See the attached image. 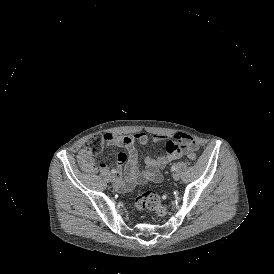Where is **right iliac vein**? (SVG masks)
Wrapping results in <instances>:
<instances>
[{
    "instance_id": "right-iliac-vein-1",
    "label": "right iliac vein",
    "mask_w": 274,
    "mask_h": 274,
    "mask_svg": "<svg viewBox=\"0 0 274 274\" xmlns=\"http://www.w3.org/2000/svg\"><path fill=\"white\" fill-rule=\"evenodd\" d=\"M110 180H111L112 183H115L116 182V177L115 176H111Z\"/></svg>"
}]
</instances>
